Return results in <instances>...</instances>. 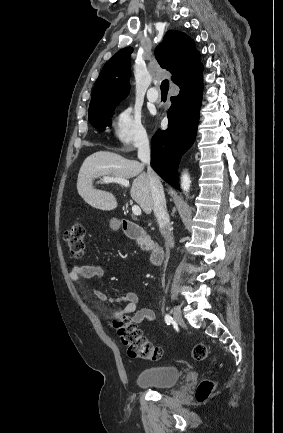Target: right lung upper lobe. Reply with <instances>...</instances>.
Listing matches in <instances>:
<instances>
[{"mask_svg": "<svg viewBox=\"0 0 283 433\" xmlns=\"http://www.w3.org/2000/svg\"><path fill=\"white\" fill-rule=\"evenodd\" d=\"M131 47L121 49L103 67L92 93L89 113L118 105L129 93ZM162 68L173 74L179 87L188 85L202 76L203 65L194 41L185 33L169 30L155 49Z\"/></svg>", "mask_w": 283, "mask_h": 433, "instance_id": "obj_1", "label": "right lung upper lobe"}]
</instances>
